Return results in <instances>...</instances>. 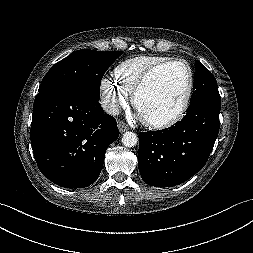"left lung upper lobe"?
Returning a JSON list of instances; mask_svg holds the SVG:
<instances>
[{
	"instance_id": "left-lung-upper-lobe-1",
	"label": "left lung upper lobe",
	"mask_w": 253,
	"mask_h": 253,
	"mask_svg": "<svg viewBox=\"0 0 253 253\" xmlns=\"http://www.w3.org/2000/svg\"><path fill=\"white\" fill-rule=\"evenodd\" d=\"M194 93L191 105L203 99L220 100L217 82L213 74L199 61L195 62Z\"/></svg>"
}]
</instances>
